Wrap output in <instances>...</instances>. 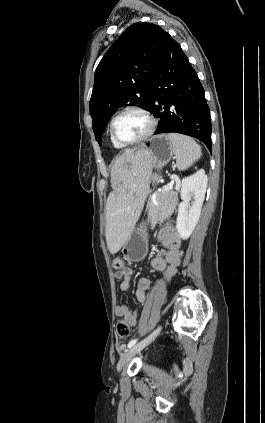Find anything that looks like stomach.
Returning a JSON list of instances; mask_svg holds the SVG:
<instances>
[{"mask_svg": "<svg viewBox=\"0 0 265 423\" xmlns=\"http://www.w3.org/2000/svg\"><path fill=\"white\" fill-rule=\"evenodd\" d=\"M141 149L150 153L152 169H160L165 166L174 154L172 143L167 135H157L150 138ZM151 179L156 182L158 175L156 173L151 175ZM148 224L147 221H142L134 227L128 236L122 249V253L127 260L139 262L145 258L148 246Z\"/></svg>", "mask_w": 265, "mask_h": 423, "instance_id": "0dacf381", "label": "stomach"}]
</instances>
